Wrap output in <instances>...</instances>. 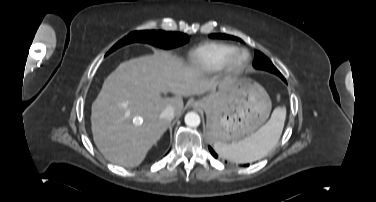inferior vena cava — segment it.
<instances>
[{
	"instance_id": "obj_1",
	"label": "inferior vena cava",
	"mask_w": 376,
	"mask_h": 202,
	"mask_svg": "<svg viewBox=\"0 0 376 202\" xmlns=\"http://www.w3.org/2000/svg\"><path fill=\"white\" fill-rule=\"evenodd\" d=\"M174 109L171 106L166 107L160 114V118L171 121L174 118Z\"/></svg>"
}]
</instances>
